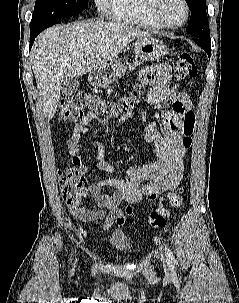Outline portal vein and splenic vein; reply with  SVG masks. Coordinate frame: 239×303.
<instances>
[{
    "label": "portal vein and splenic vein",
    "mask_w": 239,
    "mask_h": 303,
    "mask_svg": "<svg viewBox=\"0 0 239 303\" xmlns=\"http://www.w3.org/2000/svg\"><path fill=\"white\" fill-rule=\"evenodd\" d=\"M89 53H91V51H86L84 55H88Z\"/></svg>",
    "instance_id": "1"
}]
</instances>
